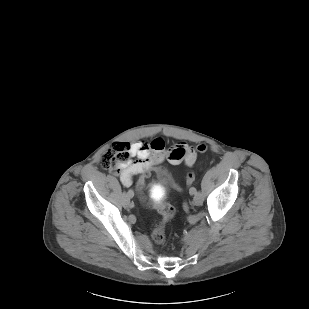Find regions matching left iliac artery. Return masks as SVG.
<instances>
[{"label": "left iliac artery", "mask_w": 309, "mask_h": 309, "mask_svg": "<svg viewBox=\"0 0 309 309\" xmlns=\"http://www.w3.org/2000/svg\"><path fill=\"white\" fill-rule=\"evenodd\" d=\"M196 192H197V191H196L195 188H190V190H189V193H190L191 195H194Z\"/></svg>", "instance_id": "1"}]
</instances>
